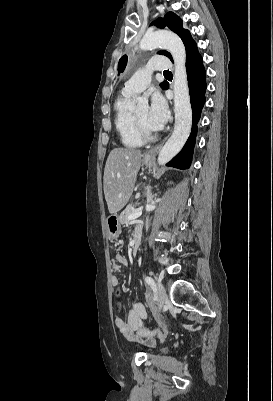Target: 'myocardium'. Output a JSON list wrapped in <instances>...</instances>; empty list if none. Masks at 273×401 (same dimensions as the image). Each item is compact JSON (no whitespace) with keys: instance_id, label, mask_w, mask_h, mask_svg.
<instances>
[{"instance_id":"myocardium-1","label":"myocardium","mask_w":273,"mask_h":401,"mask_svg":"<svg viewBox=\"0 0 273 401\" xmlns=\"http://www.w3.org/2000/svg\"><path fill=\"white\" fill-rule=\"evenodd\" d=\"M133 120H134L135 126L143 140L150 141L155 137V135H156L155 132L153 130L146 128L141 123V121L137 117L136 113H133Z\"/></svg>"}]
</instances>
